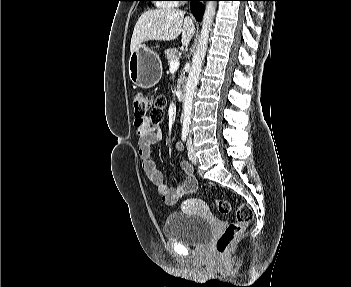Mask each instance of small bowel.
<instances>
[{
	"instance_id": "obj_1",
	"label": "small bowel",
	"mask_w": 351,
	"mask_h": 287,
	"mask_svg": "<svg viewBox=\"0 0 351 287\" xmlns=\"http://www.w3.org/2000/svg\"><path fill=\"white\" fill-rule=\"evenodd\" d=\"M134 125L138 136V153L142 161L143 170L150 181L157 187L162 200L166 204L172 205L183 196L194 192L197 188V180L193 174V167L189 162H180L184 177L181 183L176 187H172L153 160L151 149L162 140L160 128L156 125H151L149 120H135ZM175 148L181 151L183 144L177 142Z\"/></svg>"
}]
</instances>
